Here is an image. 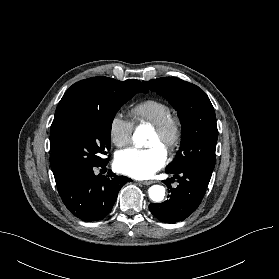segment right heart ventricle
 <instances>
[{
  "label": "right heart ventricle",
  "instance_id": "obj_1",
  "mask_svg": "<svg viewBox=\"0 0 279 279\" xmlns=\"http://www.w3.org/2000/svg\"><path fill=\"white\" fill-rule=\"evenodd\" d=\"M130 113L136 123H148L154 126L171 114V108L161 100L147 99L133 106Z\"/></svg>",
  "mask_w": 279,
  "mask_h": 279
}]
</instances>
